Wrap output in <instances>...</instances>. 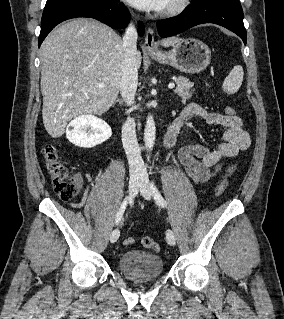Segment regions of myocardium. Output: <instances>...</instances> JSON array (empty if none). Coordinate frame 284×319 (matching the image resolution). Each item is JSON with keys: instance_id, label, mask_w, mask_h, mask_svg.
Segmentation results:
<instances>
[{"instance_id": "f54148a6", "label": "myocardium", "mask_w": 284, "mask_h": 319, "mask_svg": "<svg viewBox=\"0 0 284 319\" xmlns=\"http://www.w3.org/2000/svg\"><path fill=\"white\" fill-rule=\"evenodd\" d=\"M190 0H172L161 12L162 16H176L181 14L189 6Z\"/></svg>"}]
</instances>
